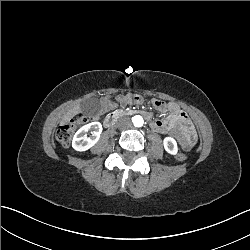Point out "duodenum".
<instances>
[{
  "label": "duodenum",
  "instance_id": "obj_1",
  "mask_svg": "<svg viewBox=\"0 0 250 250\" xmlns=\"http://www.w3.org/2000/svg\"><path fill=\"white\" fill-rule=\"evenodd\" d=\"M126 115H131L122 110H117L110 113L105 120V127L112 128L120 119L124 118Z\"/></svg>",
  "mask_w": 250,
  "mask_h": 250
}]
</instances>
